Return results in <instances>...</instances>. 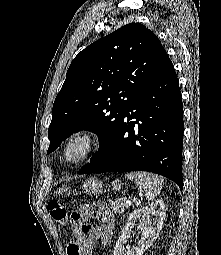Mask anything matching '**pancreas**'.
<instances>
[{"label":"pancreas","instance_id":"pancreas-1","mask_svg":"<svg viewBox=\"0 0 221 255\" xmlns=\"http://www.w3.org/2000/svg\"><path fill=\"white\" fill-rule=\"evenodd\" d=\"M110 209L114 213H123L125 209L130 208V204L126 202V200L118 199V200H109Z\"/></svg>","mask_w":221,"mask_h":255}]
</instances>
